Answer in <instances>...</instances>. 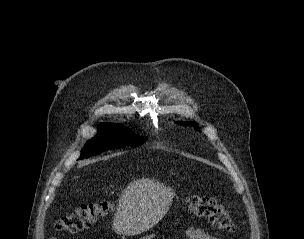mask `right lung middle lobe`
<instances>
[{"mask_svg":"<svg viewBox=\"0 0 304 239\" xmlns=\"http://www.w3.org/2000/svg\"><path fill=\"white\" fill-rule=\"evenodd\" d=\"M146 140L147 138L136 135L121 124L103 123L99 125L98 134L85 145L80 158H88L106 150L122 148L126 145L137 147Z\"/></svg>","mask_w":304,"mask_h":239,"instance_id":"obj_1","label":"right lung middle lobe"}]
</instances>
